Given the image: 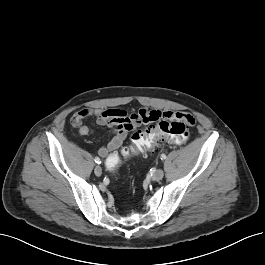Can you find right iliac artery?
Masks as SVG:
<instances>
[{
  "label": "right iliac artery",
  "mask_w": 265,
  "mask_h": 265,
  "mask_svg": "<svg viewBox=\"0 0 265 265\" xmlns=\"http://www.w3.org/2000/svg\"><path fill=\"white\" fill-rule=\"evenodd\" d=\"M94 161H95L96 163H98V164H100V163H101V160H100V158H99V157H95Z\"/></svg>",
  "instance_id": "82829eb1"
}]
</instances>
